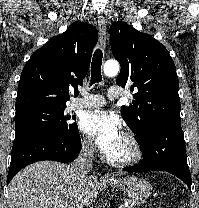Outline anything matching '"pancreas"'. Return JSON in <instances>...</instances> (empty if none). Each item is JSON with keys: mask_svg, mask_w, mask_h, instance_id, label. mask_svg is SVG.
Wrapping results in <instances>:
<instances>
[{"mask_svg": "<svg viewBox=\"0 0 199 208\" xmlns=\"http://www.w3.org/2000/svg\"><path fill=\"white\" fill-rule=\"evenodd\" d=\"M137 206H140V203L138 201L128 200V205L126 206V208H135Z\"/></svg>", "mask_w": 199, "mask_h": 208, "instance_id": "1", "label": "pancreas"}]
</instances>
